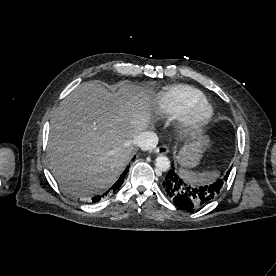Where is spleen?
I'll list each match as a JSON object with an SVG mask.
<instances>
[{"label":"spleen","instance_id":"spleen-1","mask_svg":"<svg viewBox=\"0 0 276 276\" xmlns=\"http://www.w3.org/2000/svg\"><path fill=\"white\" fill-rule=\"evenodd\" d=\"M180 173L187 182L197 185L212 183L219 176L218 171H205L202 173H195L191 171L181 170Z\"/></svg>","mask_w":276,"mask_h":276}]
</instances>
